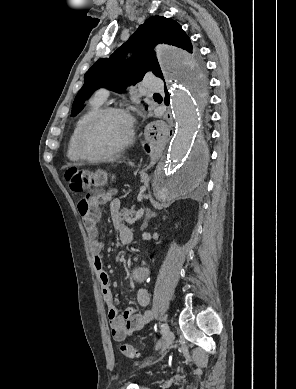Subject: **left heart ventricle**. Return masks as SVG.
Listing matches in <instances>:
<instances>
[{
    "instance_id": "1",
    "label": "left heart ventricle",
    "mask_w": 296,
    "mask_h": 389,
    "mask_svg": "<svg viewBox=\"0 0 296 389\" xmlns=\"http://www.w3.org/2000/svg\"><path fill=\"white\" fill-rule=\"evenodd\" d=\"M129 120L121 114H109L97 121L86 138V147L90 154L100 155L119 146L126 139Z\"/></svg>"
}]
</instances>
